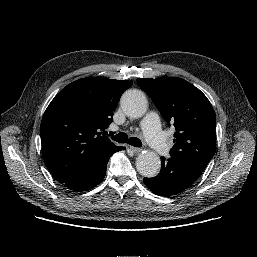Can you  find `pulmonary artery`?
<instances>
[{
  "label": "pulmonary artery",
  "mask_w": 257,
  "mask_h": 257,
  "mask_svg": "<svg viewBox=\"0 0 257 257\" xmlns=\"http://www.w3.org/2000/svg\"><path fill=\"white\" fill-rule=\"evenodd\" d=\"M142 130L147 142L160 156H166L169 153V146L166 141V135L161 130L159 117L155 112L149 113L142 121Z\"/></svg>",
  "instance_id": "obj_1"
}]
</instances>
